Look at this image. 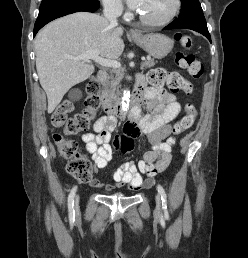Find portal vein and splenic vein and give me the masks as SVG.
<instances>
[{"label":"portal vein and splenic vein","instance_id":"18ae733b","mask_svg":"<svg viewBox=\"0 0 248 258\" xmlns=\"http://www.w3.org/2000/svg\"><path fill=\"white\" fill-rule=\"evenodd\" d=\"M69 59L72 60H79V61H87L89 59L94 60L98 64L104 66V67H112V68H120L121 64L117 60H111V59H104L99 56V53L97 51H89L86 53H83L79 56H68ZM142 61L145 60V58H141Z\"/></svg>","mask_w":248,"mask_h":258}]
</instances>
